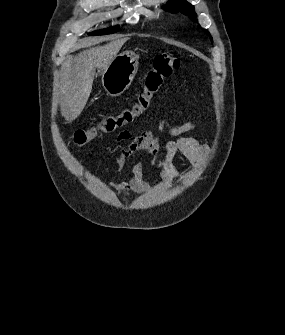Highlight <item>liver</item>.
I'll return each instance as SVG.
<instances>
[{
    "mask_svg": "<svg viewBox=\"0 0 285 335\" xmlns=\"http://www.w3.org/2000/svg\"><path fill=\"white\" fill-rule=\"evenodd\" d=\"M127 40L128 38L113 40L106 46L90 48L73 58L68 78L61 86V114L65 120L73 122L80 116L91 94L96 68L106 70ZM99 42L100 40H87V42L76 44L75 50L95 46Z\"/></svg>",
    "mask_w": 285,
    "mask_h": 335,
    "instance_id": "1",
    "label": "liver"
}]
</instances>
